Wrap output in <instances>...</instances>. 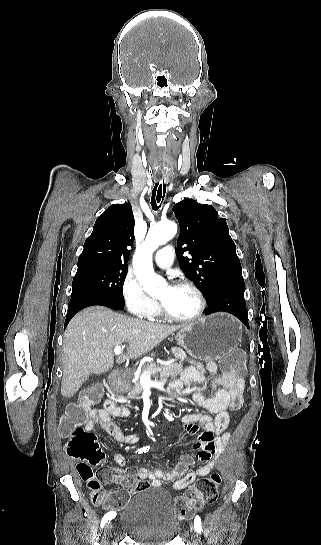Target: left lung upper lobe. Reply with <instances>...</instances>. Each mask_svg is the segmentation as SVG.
Listing matches in <instances>:
<instances>
[{"instance_id":"left-lung-upper-lobe-1","label":"left lung upper lobe","mask_w":321,"mask_h":545,"mask_svg":"<svg viewBox=\"0 0 321 545\" xmlns=\"http://www.w3.org/2000/svg\"><path fill=\"white\" fill-rule=\"evenodd\" d=\"M173 212L181 226L177 240L180 268L205 297L220 281L242 275L226 220L219 219L211 205L184 199L173 207ZM184 252H189L191 258L184 257Z\"/></svg>"}]
</instances>
